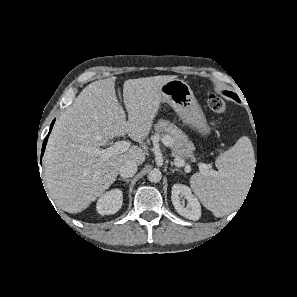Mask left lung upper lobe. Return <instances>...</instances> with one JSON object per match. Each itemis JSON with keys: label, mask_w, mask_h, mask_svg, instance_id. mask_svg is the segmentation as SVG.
Segmentation results:
<instances>
[{"label": "left lung upper lobe", "mask_w": 297, "mask_h": 297, "mask_svg": "<svg viewBox=\"0 0 297 297\" xmlns=\"http://www.w3.org/2000/svg\"><path fill=\"white\" fill-rule=\"evenodd\" d=\"M228 96L232 97L233 99L238 98V96L235 93L227 92Z\"/></svg>", "instance_id": "obj_1"}]
</instances>
